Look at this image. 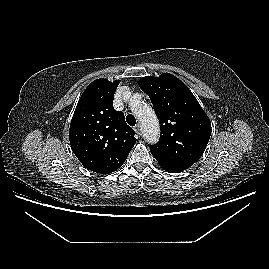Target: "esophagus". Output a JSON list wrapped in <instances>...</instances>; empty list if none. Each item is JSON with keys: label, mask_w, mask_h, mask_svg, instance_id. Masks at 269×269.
<instances>
[{"label": "esophagus", "mask_w": 269, "mask_h": 269, "mask_svg": "<svg viewBox=\"0 0 269 269\" xmlns=\"http://www.w3.org/2000/svg\"><path fill=\"white\" fill-rule=\"evenodd\" d=\"M134 130L138 135H141V126L139 124L134 127Z\"/></svg>", "instance_id": "esophagus-1"}]
</instances>
